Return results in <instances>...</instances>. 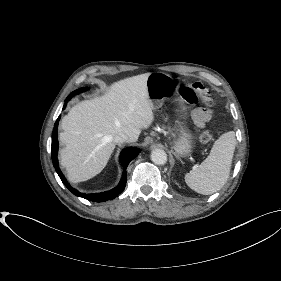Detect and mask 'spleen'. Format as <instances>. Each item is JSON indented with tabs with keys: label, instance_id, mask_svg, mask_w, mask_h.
Returning <instances> with one entry per match:
<instances>
[{
	"label": "spleen",
	"instance_id": "spleen-1",
	"mask_svg": "<svg viewBox=\"0 0 281 281\" xmlns=\"http://www.w3.org/2000/svg\"><path fill=\"white\" fill-rule=\"evenodd\" d=\"M236 137L233 131L221 135L209 156L185 175L186 184L197 193L210 195L220 190L229 177Z\"/></svg>",
	"mask_w": 281,
	"mask_h": 281
}]
</instances>
